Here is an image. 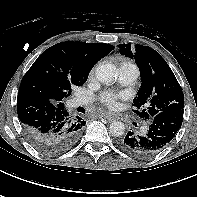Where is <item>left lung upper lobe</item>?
<instances>
[{
	"mask_svg": "<svg viewBox=\"0 0 197 197\" xmlns=\"http://www.w3.org/2000/svg\"><path fill=\"white\" fill-rule=\"evenodd\" d=\"M120 53L134 58L140 70L141 88L134 98L139 117L150 119L160 112L183 109L184 94L167 62L150 47L119 44ZM140 110V111H138Z\"/></svg>",
	"mask_w": 197,
	"mask_h": 197,
	"instance_id": "1",
	"label": "left lung upper lobe"
}]
</instances>
